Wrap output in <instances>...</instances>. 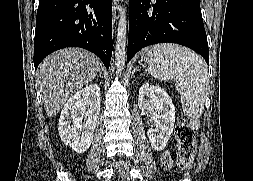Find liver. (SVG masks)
I'll list each match as a JSON object with an SVG mask.
<instances>
[{
    "label": "liver",
    "instance_id": "6515ba94",
    "mask_svg": "<svg viewBox=\"0 0 253 181\" xmlns=\"http://www.w3.org/2000/svg\"><path fill=\"white\" fill-rule=\"evenodd\" d=\"M99 70V58L81 48L61 49L46 57L38 67L36 80L47 116H55L69 97L92 81Z\"/></svg>",
    "mask_w": 253,
    "mask_h": 181
}]
</instances>
